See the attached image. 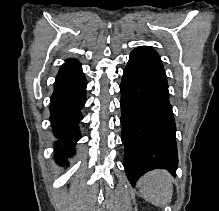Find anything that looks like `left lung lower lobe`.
<instances>
[{"label": "left lung lower lobe", "mask_w": 219, "mask_h": 211, "mask_svg": "<svg viewBox=\"0 0 219 211\" xmlns=\"http://www.w3.org/2000/svg\"><path fill=\"white\" fill-rule=\"evenodd\" d=\"M120 91L124 166L131 185L157 168L175 175L176 125L161 60L134 49Z\"/></svg>", "instance_id": "obj_1"}]
</instances>
